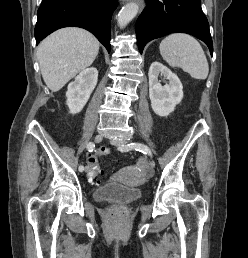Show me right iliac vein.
I'll list each match as a JSON object with an SVG mask.
<instances>
[{
  "label": "right iliac vein",
  "instance_id": "obj_1",
  "mask_svg": "<svg viewBox=\"0 0 248 258\" xmlns=\"http://www.w3.org/2000/svg\"><path fill=\"white\" fill-rule=\"evenodd\" d=\"M102 140H103V135H102V134H98V135H96L95 138H94V141H95L96 143H100ZM85 172H89L88 166L85 168Z\"/></svg>",
  "mask_w": 248,
  "mask_h": 258
}]
</instances>
